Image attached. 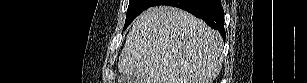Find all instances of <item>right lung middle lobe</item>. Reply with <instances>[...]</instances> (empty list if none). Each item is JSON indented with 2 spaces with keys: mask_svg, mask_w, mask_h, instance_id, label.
<instances>
[{
  "mask_svg": "<svg viewBox=\"0 0 307 83\" xmlns=\"http://www.w3.org/2000/svg\"><path fill=\"white\" fill-rule=\"evenodd\" d=\"M153 0H130L127 17L124 25V29L137 17L142 11L151 7Z\"/></svg>",
  "mask_w": 307,
  "mask_h": 83,
  "instance_id": "dd1d6c3e",
  "label": "right lung middle lobe"
}]
</instances>
